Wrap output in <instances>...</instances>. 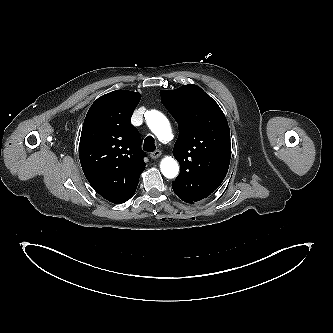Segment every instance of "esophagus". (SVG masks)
<instances>
[{"mask_svg":"<svg viewBox=\"0 0 333 333\" xmlns=\"http://www.w3.org/2000/svg\"><path fill=\"white\" fill-rule=\"evenodd\" d=\"M161 151L160 150H155L154 152H152L151 154H150V157L152 158V159H157V158H159L160 156H161Z\"/></svg>","mask_w":333,"mask_h":333,"instance_id":"1","label":"esophagus"}]
</instances>
